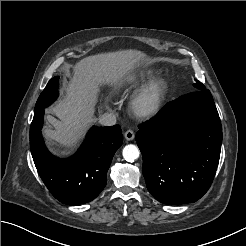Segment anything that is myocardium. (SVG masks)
Listing matches in <instances>:
<instances>
[{"label": "myocardium", "mask_w": 246, "mask_h": 246, "mask_svg": "<svg viewBox=\"0 0 246 246\" xmlns=\"http://www.w3.org/2000/svg\"><path fill=\"white\" fill-rule=\"evenodd\" d=\"M167 92V84L162 79L146 83L133 97L131 110L139 118H150L158 113Z\"/></svg>", "instance_id": "f54148a6"}]
</instances>
